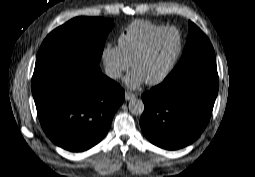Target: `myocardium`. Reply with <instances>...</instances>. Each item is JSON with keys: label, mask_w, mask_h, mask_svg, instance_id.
<instances>
[{"label": "myocardium", "mask_w": 255, "mask_h": 177, "mask_svg": "<svg viewBox=\"0 0 255 177\" xmlns=\"http://www.w3.org/2000/svg\"><path fill=\"white\" fill-rule=\"evenodd\" d=\"M168 31H174V32L177 33L178 39H179L178 50L175 53V55L172 57V59L170 60V62L168 63V65L166 66L164 71L158 77H156L152 80L146 81V83L149 84V85H156V84H159V83L163 82L169 76V74L173 70L174 66L176 65L177 61L181 57L182 52H183V48H184V41H183V37H182L181 32L177 28H175L173 26H170V27H165V28L153 33L148 38V40L145 42V44L142 46V48L137 52V54L135 55V57L133 58V60L131 62V68L133 69L136 62L139 61L140 59H142L143 57H145V55L148 53L149 49L151 48V46L153 45L155 40L160 35L168 32Z\"/></svg>", "instance_id": "1"}]
</instances>
